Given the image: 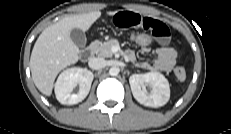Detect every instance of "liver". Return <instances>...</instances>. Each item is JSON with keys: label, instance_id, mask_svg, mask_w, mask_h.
I'll return each instance as SVG.
<instances>
[{"label": "liver", "instance_id": "1", "mask_svg": "<svg viewBox=\"0 0 231 134\" xmlns=\"http://www.w3.org/2000/svg\"><path fill=\"white\" fill-rule=\"evenodd\" d=\"M100 16V11L66 16L42 31L30 57L32 79L41 93L50 96L58 73L79 60V48L71 39V30L85 32Z\"/></svg>", "mask_w": 231, "mask_h": 134}]
</instances>
